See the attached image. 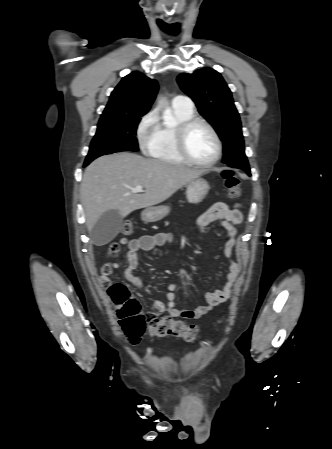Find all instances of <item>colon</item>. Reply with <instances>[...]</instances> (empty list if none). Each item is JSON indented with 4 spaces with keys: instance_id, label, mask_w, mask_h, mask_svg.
Returning a JSON list of instances; mask_svg holds the SVG:
<instances>
[{
    "instance_id": "colon-1",
    "label": "colon",
    "mask_w": 332,
    "mask_h": 449,
    "mask_svg": "<svg viewBox=\"0 0 332 449\" xmlns=\"http://www.w3.org/2000/svg\"><path fill=\"white\" fill-rule=\"evenodd\" d=\"M224 184L228 190L230 198L240 195V180L232 169H224L222 172ZM134 225L132 222H125L122 233L126 236L132 235ZM121 242L111 243L106 251V258H115L121 253ZM108 293L116 307L120 324L129 340L137 343L146 326L149 333L154 337H179L185 341L192 342L198 338V329L194 325H187L180 320L165 316L162 318L150 319L146 321L141 311L140 304L132 290L124 283H114L108 287Z\"/></svg>"
}]
</instances>
